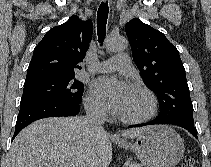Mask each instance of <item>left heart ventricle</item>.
Returning a JSON list of instances; mask_svg holds the SVG:
<instances>
[{"label":"left heart ventricle","instance_id":"obj_1","mask_svg":"<svg viewBox=\"0 0 211 167\" xmlns=\"http://www.w3.org/2000/svg\"><path fill=\"white\" fill-rule=\"evenodd\" d=\"M149 111V102L146 96L132 90L120 115L130 118L145 116Z\"/></svg>","mask_w":211,"mask_h":167}]
</instances>
